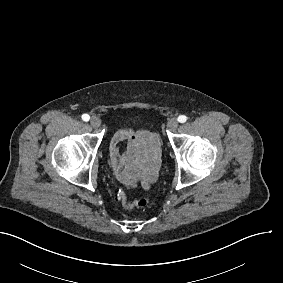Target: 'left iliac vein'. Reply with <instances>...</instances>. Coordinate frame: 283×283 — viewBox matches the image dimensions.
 <instances>
[{"instance_id": "obj_1", "label": "left iliac vein", "mask_w": 283, "mask_h": 283, "mask_svg": "<svg viewBox=\"0 0 283 283\" xmlns=\"http://www.w3.org/2000/svg\"><path fill=\"white\" fill-rule=\"evenodd\" d=\"M167 127L169 129H176L178 127V120L177 118H171L168 123H167Z\"/></svg>"}]
</instances>
